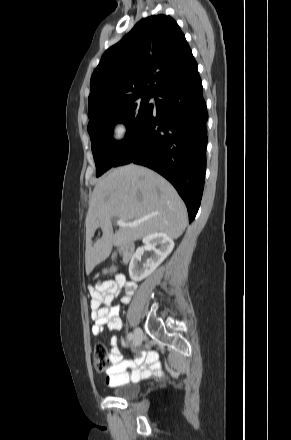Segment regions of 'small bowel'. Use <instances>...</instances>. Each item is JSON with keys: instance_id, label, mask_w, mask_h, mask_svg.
Returning <instances> with one entry per match:
<instances>
[{"instance_id": "obj_1", "label": "small bowel", "mask_w": 291, "mask_h": 440, "mask_svg": "<svg viewBox=\"0 0 291 440\" xmlns=\"http://www.w3.org/2000/svg\"><path fill=\"white\" fill-rule=\"evenodd\" d=\"M121 288L125 294L121 298L122 305L130 303L136 290V284L118 275L114 280L90 283L88 289L91 295V318L94 322L92 334L100 336L122 327L119 317L120 306H111ZM109 365L106 369V381L110 386H118L129 381H136L160 372L159 363L153 353L144 352L129 362L122 361V355L117 345V338H110ZM122 343L126 342L122 340Z\"/></svg>"}]
</instances>
